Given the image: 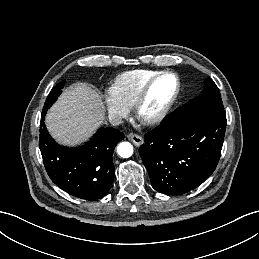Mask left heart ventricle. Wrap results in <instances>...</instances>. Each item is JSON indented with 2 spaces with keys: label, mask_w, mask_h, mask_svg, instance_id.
<instances>
[{
  "label": "left heart ventricle",
  "mask_w": 259,
  "mask_h": 259,
  "mask_svg": "<svg viewBox=\"0 0 259 259\" xmlns=\"http://www.w3.org/2000/svg\"><path fill=\"white\" fill-rule=\"evenodd\" d=\"M175 87L176 82L172 76H166L156 81L141 109V117L147 119L156 115L171 99Z\"/></svg>",
  "instance_id": "obj_1"
}]
</instances>
